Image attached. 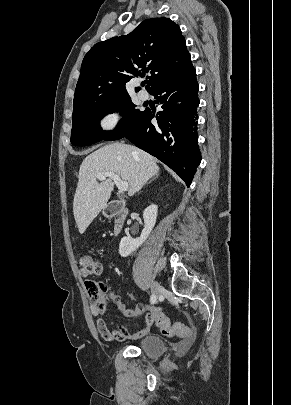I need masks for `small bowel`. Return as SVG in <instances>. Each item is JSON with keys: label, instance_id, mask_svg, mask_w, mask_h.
<instances>
[{"label": "small bowel", "instance_id": "c3829d8e", "mask_svg": "<svg viewBox=\"0 0 291 405\" xmlns=\"http://www.w3.org/2000/svg\"><path fill=\"white\" fill-rule=\"evenodd\" d=\"M109 297L116 304L118 309L122 311V313L127 317L140 316L145 314L146 312V307L143 305H138L135 309L126 308V306L122 303L121 298L114 292H110ZM92 311L93 314L96 316V326L98 332L104 340L109 342L142 338L151 331L153 326L152 320L150 319L149 315H147L146 324L140 330L133 334L128 333L121 323H118V327L116 330L111 331L107 327L105 321L101 317H98V312L94 308L92 309Z\"/></svg>", "mask_w": 291, "mask_h": 405}]
</instances>
